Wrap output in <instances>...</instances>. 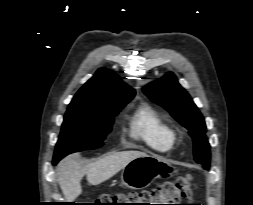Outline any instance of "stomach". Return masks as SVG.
Returning a JSON list of instances; mask_svg holds the SVG:
<instances>
[{
    "label": "stomach",
    "instance_id": "obj_1",
    "mask_svg": "<svg viewBox=\"0 0 253 205\" xmlns=\"http://www.w3.org/2000/svg\"><path fill=\"white\" fill-rule=\"evenodd\" d=\"M175 168L168 161L157 156H141L130 161L122 170L121 185L131 189L148 187L153 180L170 176Z\"/></svg>",
    "mask_w": 253,
    "mask_h": 205
}]
</instances>
